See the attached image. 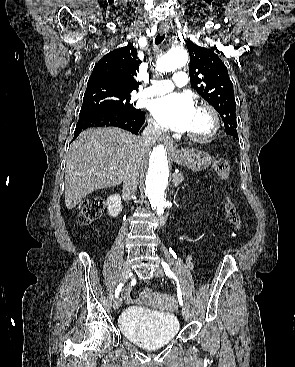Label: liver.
<instances>
[{"label":"liver","instance_id":"obj_1","mask_svg":"<svg viewBox=\"0 0 295 367\" xmlns=\"http://www.w3.org/2000/svg\"><path fill=\"white\" fill-rule=\"evenodd\" d=\"M148 149L140 137L119 128H90L71 144L65 170V204L73 209L88 194L119 185Z\"/></svg>","mask_w":295,"mask_h":367}]
</instances>
